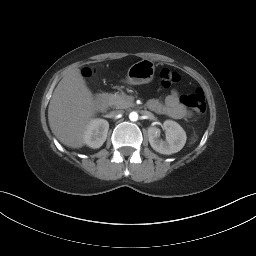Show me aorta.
I'll return each instance as SVG.
<instances>
[{"mask_svg":"<svg viewBox=\"0 0 256 256\" xmlns=\"http://www.w3.org/2000/svg\"><path fill=\"white\" fill-rule=\"evenodd\" d=\"M129 119L131 120V121H137L138 120V113L137 112H131L130 114H129Z\"/></svg>","mask_w":256,"mask_h":256,"instance_id":"aorta-1","label":"aorta"}]
</instances>
